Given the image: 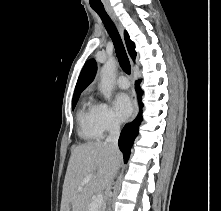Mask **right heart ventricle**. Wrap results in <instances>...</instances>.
Returning <instances> with one entry per match:
<instances>
[{
	"mask_svg": "<svg viewBox=\"0 0 221 211\" xmlns=\"http://www.w3.org/2000/svg\"><path fill=\"white\" fill-rule=\"evenodd\" d=\"M78 134L86 141H96L101 138L94 122V105L84 100L77 113Z\"/></svg>",
	"mask_w": 221,
	"mask_h": 211,
	"instance_id": "e07e8e85",
	"label": "right heart ventricle"
}]
</instances>
